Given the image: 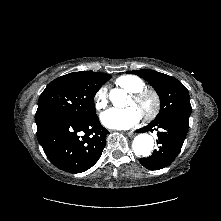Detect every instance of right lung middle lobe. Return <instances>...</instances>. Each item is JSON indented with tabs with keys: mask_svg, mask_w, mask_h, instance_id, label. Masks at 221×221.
<instances>
[{
	"mask_svg": "<svg viewBox=\"0 0 221 221\" xmlns=\"http://www.w3.org/2000/svg\"><path fill=\"white\" fill-rule=\"evenodd\" d=\"M109 79L90 80L73 73L56 78L40 95L35 114L37 126L55 119L96 116L94 96Z\"/></svg>",
	"mask_w": 221,
	"mask_h": 221,
	"instance_id": "right-lung-middle-lobe-1",
	"label": "right lung middle lobe"
}]
</instances>
